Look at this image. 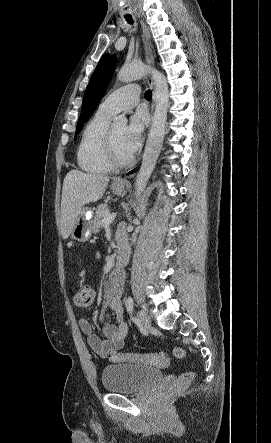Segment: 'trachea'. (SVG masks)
Masks as SVG:
<instances>
[{
	"label": "trachea",
	"instance_id": "trachea-1",
	"mask_svg": "<svg viewBox=\"0 0 271 443\" xmlns=\"http://www.w3.org/2000/svg\"><path fill=\"white\" fill-rule=\"evenodd\" d=\"M124 16H125V19L128 21V23L129 24H132L133 23V21H132V17L129 15L130 13H129V11H124ZM144 97L146 98V100H151V98H152V92H151V90H147L146 92H145V95H144Z\"/></svg>",
	"mask_w": 271,
	"mask_h": 443
}]
</instances>
